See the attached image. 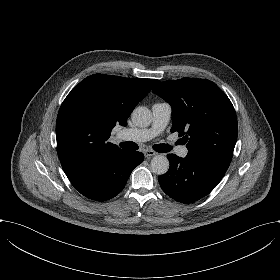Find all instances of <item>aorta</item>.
Returning a JSON list of instances; mask_svg holds the SVG:
<instances>
[{"label": "aorta", "mask_w": 280, "mask_h": 280, "mask_svg": "<svg viewBox=\"0 0 280 280\" xmlns=\"http://www.w3.org/2000/svg\"><path fill=\"white\" fill-rule=\"evenodd\" d=\"M132 122L137 127H147L151 124L152 113L147 107L138 106L131 114ZM169 160L163 155L152 158L150 170L156 175H164L169 170Z\"/></svg>", "instance_id": "aorta-1"}]
</instances>
